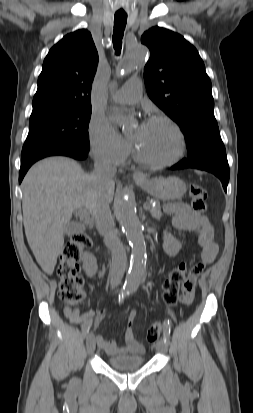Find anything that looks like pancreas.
Masks as SVG:
<instances>
[{
    "mask_svg": "<svg viewBox=\"0 0 253 413\" xmlns=\"http://www.w3.org/2000/svg\"><path fill=\"white\" fill-rule=\"evenodd\" d=\"M150 206V212L153 218L155 219H160L162 217V212H161V207L160 205L157 203V205L155 207H152L150 205V203H148Z\"/></svg>",
    "mask_w": 253,
    "mask_h": 413,
    "instance_id": "cf45deb5",
    "label": "pancreas"
}]
</instances>
